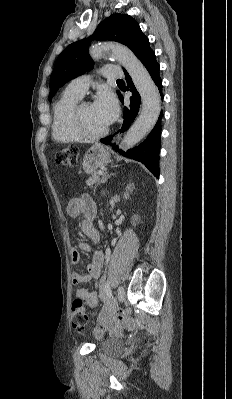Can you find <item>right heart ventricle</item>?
<instances>
[{
    "mask_svg": "<svg viewBox=\"0 0 232 399\" xmlns=\"http://www.w3.org/2000/svg\"><path fill=\"white\" fill-rule=\"evenodd\" d=\"M80 99L81 97L67 93L54 103L51 115V134L56 142L72 145L82 141L72 126L73 111Z\"/></svg>",
    "mask_w": 232,
    "mask_h": 399,
    "instance_id": "right-heart-ventricle-1",
    "label": "right heart ventricle"
}]
</instances>
